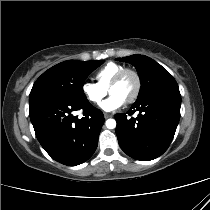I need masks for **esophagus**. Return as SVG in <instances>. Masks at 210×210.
<instances>
[{"label":"esophagus","mask_w":210,"mask_h":210,"mask_svg":"<svg viewBox=\"0 0 210 210\" xmlns=\"http://www.w3.org/2000/svg\"><path fill=\"white\" fill-rule=\"evenodd\" d=\"M110 117H112V115H111V114L104 113V118H105V119H108V118H110Z\"/></svg>","instance_id":"1"}]
</instances>
